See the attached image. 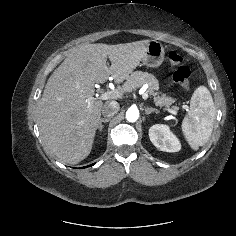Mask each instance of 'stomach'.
<instances>
[{"instance_id": "0dacf381", "label": "stomach", "mask_w": 236, "mask_h": 236, "mask_svg": "<svg viewBox=\"0 0 236 236\" xmlns=\"http://www.w3.org/2000/svg\"><path fill=\"white\" fill-rule=\"evenodd\" d=\"M165 50L163 45L156 41L152 40L146 48L145 55L142 59L143 64L148 67H158L164 61Z\"/></svg>"}]
</instances>
